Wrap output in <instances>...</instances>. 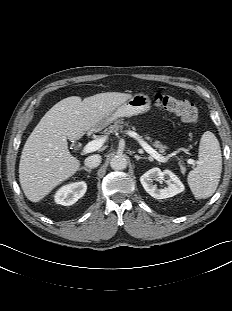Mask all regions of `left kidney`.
<instances>
[{
	"label": "left kidney",
	"instance_id": "obj_1",
	"mask_svg": "<svg viewBox=\"0 0 232 311\" xmlns=\"http://www.w3.org/2000/svg\"><path fill=\"white\" fill-rule=\"evenodd\" d=\"M154 180L165 181L168 186L159 189L153 184ZM140 182L145 191L156 199L173 197L184 190L183 183L170 170L161 171L159 168H152L140 177Z\"/></svg>",
	"mask_w": 232,
	"mask_h": 311
}]
</instances>
